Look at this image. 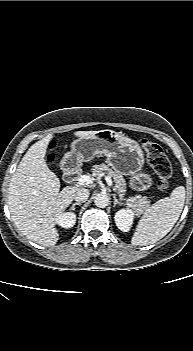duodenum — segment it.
<instances>
[{"mask_svg": "<svg viewBox=\"0 0 193 351\" xmlns=\"http://www.w3.org/2000/svg\"><path fill=\"white\" fill-rule=\"evenodd\" d=\"M80 173V166L73 156H67L63 160V175L67 184L73 185Z\"/></svg>", "mask_w": 193, "mask_h": 351, "instance_id": "duodenum-1", "label": "duodenum"}]
</instances>
